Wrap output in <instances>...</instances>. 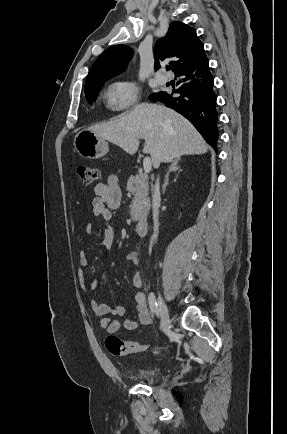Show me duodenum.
<instances>
[{"label": "duodenum", "instance_id": "1", "mask_svg": "<svg viewBox=\"0 0 287 434\" xmlns=\"http://www.w3.org/2000/svg\"><path fill=\"white\" fill-rule=\"evenodd\" d=\"M148 232V220L145 218L140 219L136 225V235L138 237H145Z\"/></svg>", "mask_w": 287, "mask_h": 434}]
</instances>
